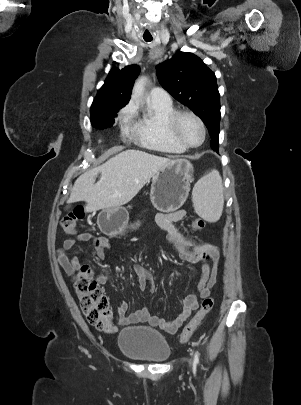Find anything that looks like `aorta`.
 Listing matches in <instances>:
<instances>
[{
    "label": "aorta",
    "mask_w": 301,
    "mask_h": 405,
    "mask_svg": "<svg viewBox=\"0 0 301 405\" xmlns=\"http://www.w3.org/2000/svg\"><path fill=\"white\" fill-rule=\"evenodd\" d=\"M146 82H147L146 77H141L135 82V85H134L133 91H132V98L134 100H136V101L140 100V98L142 97V95L144 93Z\"/></svg>",
    "instance_id": "762f6f07"
}]
</instances>
